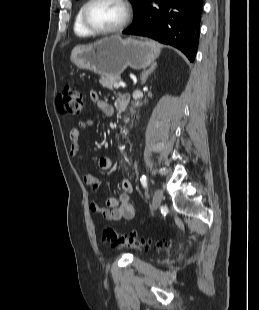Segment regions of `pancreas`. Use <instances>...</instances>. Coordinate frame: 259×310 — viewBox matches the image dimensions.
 <instances>
[{"mask_svg": "<svg viewBox=\"0 0 259 310\" xmlns=\"http://www.w3.org/2000/svg\"><path fill=\"white\" fill-rule=\"evenodd\" d=\"M121 80L120 76H112V75H106L100 80V83L103 87L113 90L114 84Z\"/></svg>", "mask_w": 259, "mask_h": 310, "instance_id": "obj_1", "label": "pancreas"}]
</instances>
